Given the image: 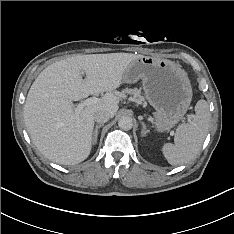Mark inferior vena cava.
Segmentation results:
<instances>
[{
	"label": "inferior vena cava",
	"instance_id": "obj_1",
	"mask_svg": "<svg viewBox=\"0 0 234 234\" xmlns=\"http://www.w3.org/2000/svg\"><path fill=\"white\" fill-rule=\"evenodd\" d=\"M110 117H111V114L106 110H98L94 114V120L97 123H101V124L107 122L110 119Z\"/></svg>",
	"mask_w": 234,
	"mask_h": 234
}]
</instances>
